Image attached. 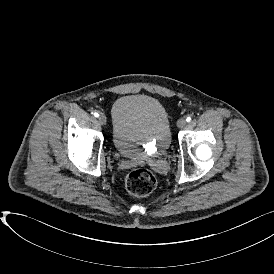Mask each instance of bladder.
Segmentation results:
<instances>
[{
    "instance_id": "obj_1",
    "label": "bladder",
    "mask_w": 274,
    "mask_h": 274,
    "mask_svg": "<svg viewBox=\"0 0 274 274\" xmlns=\"http://www.w3.org/2000/svg\"><path fill=\"white\" fill-rule=\"evenodd\" d=\"M112 142L117 152L130 159H148L168 150L171 127L162 103L148 95H125L112 111Z\"/></svg>"
}]
</instances>
